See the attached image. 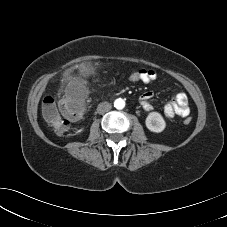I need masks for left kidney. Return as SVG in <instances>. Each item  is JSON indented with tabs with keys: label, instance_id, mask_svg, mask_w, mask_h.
<instances>
[{
	"label": "left kidney",
	"instance_id": "1",
	"mask_svg": "<svg viewBox=\"0 0 227 227\" xmlns=\"http://www.w3.org/2000/svg\"><path fill=\"white\" fill-rule=\"evenodd\" d=\"M145 124L150 131L155 133L162 132L166 127L164 118L158 112H150L146 117Z\"/></svg>",
	"mask_w": 227,
	"mask_h": 227
}]
</instances>
